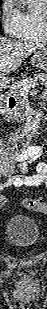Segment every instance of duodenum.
<instances>
[{"instance_id": "duodenum-1", "label": "duodenum", "mask_w": 47, "mask_h": 309, "mask_svg": "<svg viewBox=\"0 0 47 309\" xmlns=\"http://www.w3.org/2000/svg\"><path fill=\"white\" fill-rule=\"evenodd\" d=\"M15 106H16L15 102H13V101H7L6 102V104H5V106L3 107V110H2V114H3L5 119L10 120L12 111L14 110Z\"/></svg>"}]
</instances>
